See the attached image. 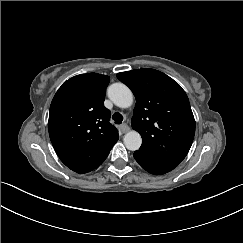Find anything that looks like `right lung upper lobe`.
<instances>
[{
    "mask_svg": "<svg viewBox=\"0 0 243 243\" xmlns=\"http://www.w3.org/2000/svg\"><path fill=\"white\" fill-rule=\"evenodd\" d=\"M109 77L81 74L66 81L55 94L49 111L48 130L61 161L77 173L97 168L118 140L104 107Z\"/></svg>",
    "mask_w": 243,
    "mask_h": 243,
    "instance_id": "1",
    "label": "right lung upper lobe"
}]
</instances>
